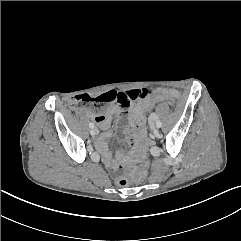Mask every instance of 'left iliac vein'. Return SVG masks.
Listing matches in <instances>:
<instances>
[{"label": "left iliac vein", "mask_w": 241, "mask_h": 241, "mask_svg": "<svg viewBox=\"0 0 241 241\" xmlns=\"http://www.w3.org/2000/svg\"><path fill=\"white\" fill-rule=\"evenodd\" d=\"M153 133L156 135V134H158V129H157V127H154L153 128Z\"/></svg>", "instance_id": "left-iliac-vein-1"}]
</instances>
